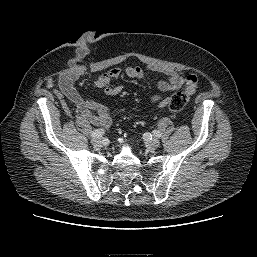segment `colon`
Returning <instances> with one entry per match:
<instances>
[{"label": "colon", "mask_w": 257, "mask_h": 257, "mask_svg": "<svg viewBox=\"0 0 257 257\" xmlns=\"http://www.w3.org/2000/svg\"><path fill=\"white\" fill-rule=\"evenodd\" d=\"M190 99V93L183 91L177 92L171 96L168 103V108L171 111H179L183 109Z\"/></svg>", "instance_id": "5ec220e1"}]
</instances>
